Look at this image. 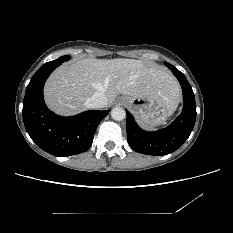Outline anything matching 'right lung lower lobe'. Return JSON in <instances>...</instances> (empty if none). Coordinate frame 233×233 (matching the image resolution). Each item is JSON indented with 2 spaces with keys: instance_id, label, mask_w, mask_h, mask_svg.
I'll return each instance as SVG.
<instances>
[{
  "instance_id": "right-lung-lower-lobe-1",
  "label": "right lung lower lobe",
  "mask_w": 233,
  "mask_h": 233,
  "mask_svg": "<svg viewBox=\"0 0 233 233\" xmlns=\"http://www.w3.org/2000/svg\"><path fill=\"white\" fill-rule=\"evenodd\" d=\"M60 63L43 65L32 77L23 100V120L31 139L45 152L59 157L87 151L98 124L109 110H90L72 117H62L45 105L43 87Z\"/></svg>"
}]
</instances>
